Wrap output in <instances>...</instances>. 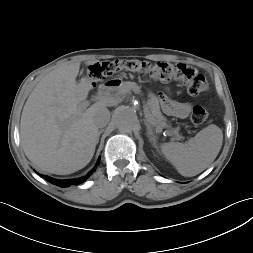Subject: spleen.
Instances as JSON below:
<instances>
[{"mask_svg":"<svg viewBox=\"0 0 253 253\" xmlns=\"http://www.w3.org/2000/svg\"><path fill=\"white\" fill-rule=\"evenodd\" d=\"M222 142V130L212 124L186 143L162 144L161 151L182 176L192 177L211 165L221 149Z\"/></svg>","mask_w":253,"mask_h":253,"instance_id":"1","label":"spleen"}]
</instances>
